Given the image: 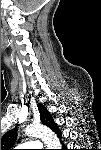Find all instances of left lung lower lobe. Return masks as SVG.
Returning a JSON list of instances; mask_svg holds the SVG:
<instances>
[{
  "mask_svg": "<svg viewBox=\"0 0 101 150\" xmlns=\"http://www.w3.org/2000/svg\"><path fill=\"white\" fill-rule=\"evenodd\" d=\"M57 135L59 138H61V132H58Z\"/></svg>",
  "mask_w": 101,
  "mask_h": 150,
  "instance_id": "0a47b994",
  "label": "left lung lower lobe"
}]
</instances>
